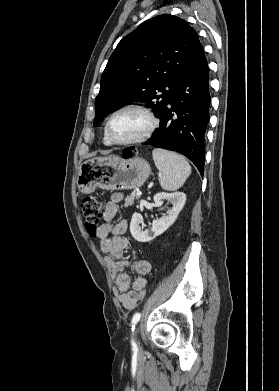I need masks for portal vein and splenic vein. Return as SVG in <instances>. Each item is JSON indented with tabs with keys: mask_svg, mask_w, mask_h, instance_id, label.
<instances>
[{
	"mask_svg": "<svg viewBox=\"0 0 279 391\" xmlns=\"http://www.w3.org/2000/svg\"><path fill=\"white\" fill-rule=\"evenodd\" d=\"M137 195H142V192L141 191H137V193H136Z\"/></svg>",
	"mask_w": 279,
	"mask_h": 391,
	"instance_id": "obj_1",
	"label": "portal vein and splenic vein"
}]
</instances>
